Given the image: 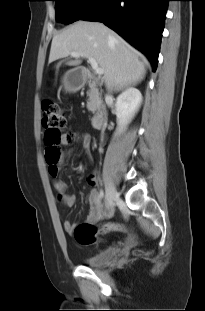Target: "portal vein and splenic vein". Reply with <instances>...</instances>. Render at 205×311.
Returning a JSON list of instances; mask_svg holds the SVG:
<instances>
[{"instance_id": "1", "label": "portal vein and splenic vein", "mask_w": 205, "mask_h": 311, "mask_svg": "<svg viewBox=\"0 0 205 311\" xmlns=\"http://www.w3.org/2000/svg\"><path fill=\"white\" fill-rule=\"evenodd\" d=\"M71 56L72 57H86L88 59V62L90 63L92 69L94 70V72L97 74V75H102L104 73L103 69L101 67H99L98 63L96 62V60L92 57H88L86 55H83L81 53H78V52H72L71 53Z\"/></svg>"}]
</instances>
